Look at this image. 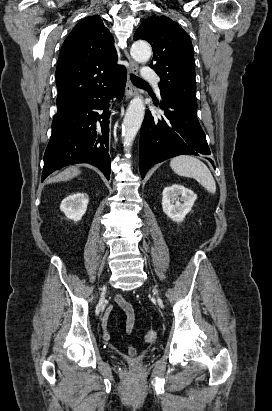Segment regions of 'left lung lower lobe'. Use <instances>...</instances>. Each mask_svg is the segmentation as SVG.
Segmentation results:
<instances>
[{
  "label": "left lung lower lobe",
  "mask_w": 272,
  "mask_h": 411,
  "mask_svg": "<svg viewBox=\"0 0 272 411\" xmlns=\"http://www.w3.org/2000/svg\"><path fill=\"white\" fill-rule=\"evenodd\" d=\"M160 108L164 111L160 116L147 110L141 126L139 168L142 178L150 167L168 158L210 154L196 107L161 93Z\"/></svg>",
  "instance_id": "obj_1"
}]
</instances>
